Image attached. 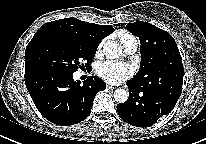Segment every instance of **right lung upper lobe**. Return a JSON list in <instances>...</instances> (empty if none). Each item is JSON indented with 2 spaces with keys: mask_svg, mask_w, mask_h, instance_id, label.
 Here are the masks:
<instances>
[{
  "mask_svg": "<svg viewBox=\"0 0 206 144\" xmlns=\"http://www.w3.org/2000/svg\"><path fill=\"white\" fill-rule=\"evenodd\" d=\"M50 31L68 35L83 42L99 45L101 40L111 34L114 28L81 21L77 18H65L43 24L37 32Z\"/></svg>",
  "mask_w": 206,
  "mask_h": 144,
  "instance_id": "1",
  "label": "right lung upper lobe"
}]
</instances>
